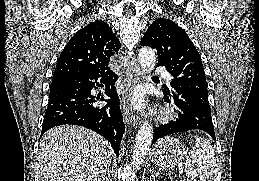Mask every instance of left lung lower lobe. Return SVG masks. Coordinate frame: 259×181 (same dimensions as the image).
I'll return each instance as SVG.
<instances>
[{"instance_id":"left-lung-lower-lobe-1","label":"left lung lower lobe","mask_w":259,"mask_h":181,"mask_svg":"<svg viewBox=\"0 0 259 181\" xmlns=\"http://www.w3.org/2000/svg\"><path fill=\"white\" fill-rule=\"evenodd\" d=\"M163 92L165 101L178 107V118L155 128L152 144L164 136L194 129L203 130L216 140L210 110L174 88H163Z\"/></svg>"}]
</instances>
